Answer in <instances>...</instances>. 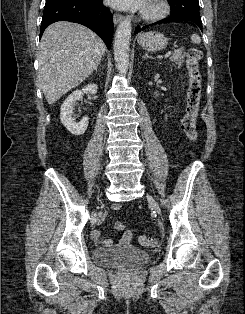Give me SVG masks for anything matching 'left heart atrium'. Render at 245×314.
<instances>
[{
    "instance_id": "1",
    "label": "left heart atrium",
    "mask_w": 245,
    "mask_h": 314,
    "mask_svg": "<svg viewBox=\"0 0 245 314\" xmlns=\"http://www.w3.org/2000/svg\"><path fill=\"white\" fill-rule=\"evenodd\" d=\"M108 3L119 9L143 10L147 0H107Z\"/></svg>"
}]
</instances>
